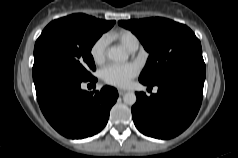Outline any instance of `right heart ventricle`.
Returning <instances> with one entry per match:
<instances>
[{
    "mask_svg": "<svg viewBox=\"0 0 238 158\" xmlns=\"http://www.w3.org/2000/svg\"><path fill=\"white\" fill-rule=\"evenodd\" d=\"M115 39H117L124 47L128 50H132L133 48H138L139 40L137 36L128 30H122L113 35Z\"/></svg>",
    "mask_w": 238,
    "mask_h": 158,
    "instance_id": "right-heart-ventricle-1",
    "label": "right heart ventricle"
}]
</instances>
